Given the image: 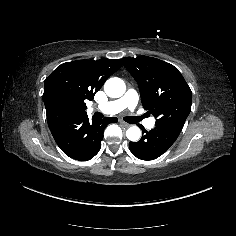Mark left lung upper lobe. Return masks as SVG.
<instances>
[{
	"label": "left lung upper lobe",
	"instance_id": "1",
	"mask_svg": "<svg viewBox=\"0 0 236 236\" xmlns=\"http://www.w3.org/2000/svg\"><path fill=\"white\" fill-rule=\"evenodd\" d=\"M137 81L144 109L156 118L155 124L183 127L191 111L192 92L173 65L148 56L122 59Z\"/></svg>",
	"mask_w": 236,
	"mask_h": 236
}]
</instances>
